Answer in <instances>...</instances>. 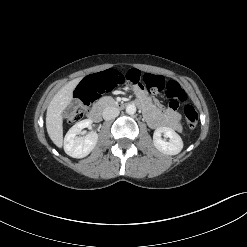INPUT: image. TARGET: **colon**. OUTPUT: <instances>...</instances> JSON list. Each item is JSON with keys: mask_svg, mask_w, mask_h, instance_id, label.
Segmentation results:
<instances>
[{"mask_svg": "<svg viewBox=\"0 0 247 247\" xmlns=\"http://www.w3.org/2000/svg\"><path fill=\"white\" fill-rule=\"evenodd\" d=\"M125 78L134 85L146 88L151 92L165 91L170 106L175 107L186 100L185 91L175 81H165L161 76L144 74L137 70H130ZM123 82L122 74L114 68L88 75L77 88V102L69 109V120L77 122L89 112L90 104L100 95L108 91L117 90ZM184 117L189 128L193 129L198 123V114L191 105H185Z\"/></svg>", "mask_w": 247, "mask_h": 247, "instance_id": "colon-1", "label": "colon"}]
</instances>
